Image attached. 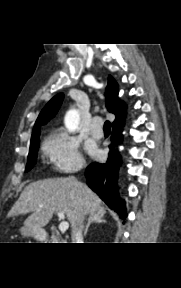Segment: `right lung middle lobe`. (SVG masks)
I'll return each mask as SVG.
<instances>
[{
	"instance_id": "right-lung-middle-lobe-1",
	"label": "right lung middle lobe",
	"mask_w": 181,
	"mask_h": 288,
	"mask_svg": "<svg viewBox=\"0 0 181 288\" xmlns=\"http://www.w3.org/2000/svg\"><path fill=\"white\" fill-rule=\"evenodd\" d=\"M38 147H39V138L31 142L29 155L27 159V165L25 169L26 172L29 171L32 168V165L36 163Z\"/></svg>"
}]
</instances>
